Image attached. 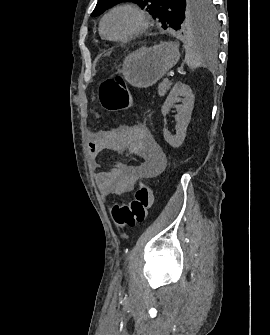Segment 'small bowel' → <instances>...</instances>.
Returning a JSON list of instances; mask_svg holds the SVG:
<instances>
[{
	"instance_id": "1",
	"label": "small bowel",
	"mask_w": 270,
	"mask_h": 335,
	"mask_svg": "<svg viewBox=\"0 0 270 335\" xmlns=\"http://www.w3.org/2000/svg\"><path fill=\"white\" fill-rule=\"evenodd\" d=\"M92 164L98 167V155L104 150L127 151L142 158L140 164L117 162L108 171L96 175L98 186L107 194L123 195L131 192L140 177H153L164 170L166 154L143 123L121 125L116 129L92 134L89 142Z\"/></svg>"
}]
</instances>
